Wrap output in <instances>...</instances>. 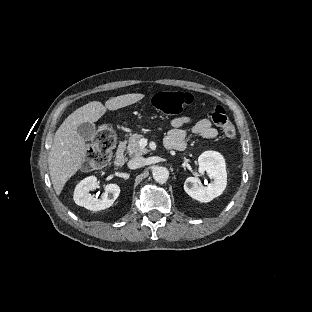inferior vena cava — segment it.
Listing matches in <instances>:
<instances>
[{"label":"inferior vena cava","mask_w":312,"mask_h":312,"mask_svg":"<svg viewBox=\"0 0 312 312\" xmlns=\"http://www.w3.org/2000/svg\"><path fill=\"white\" fill-rule=\"evenodd\" d=\"M146 159L144 157H135L128 162L130 169H139L145 166Z\"/></svg>","instance_id":"obj_1"}]
</instances>
